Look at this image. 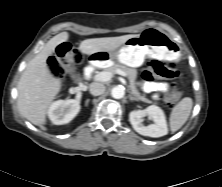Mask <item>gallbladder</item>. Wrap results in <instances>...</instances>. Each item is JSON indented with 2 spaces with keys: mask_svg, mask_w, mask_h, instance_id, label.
Segmentation results:
<instances>
[{
  "mask_svg": "<svg viewBox=\"0 0 222 187\" xmlns=\"http://www.w3.org/2000/svg\"><path fill=\"white\" fill-rule=\"evenodd\" d=\"M66 72L70 74L71 78L75 81L78 80V74L76 73V70L73 66H69L66 69Z\"/></svg>",
  "mask_w": 222,
  "mask_h": 187,
  "instance_id": "gallbladder-1",
  "label": "gallbladder"
}]
</instances>
